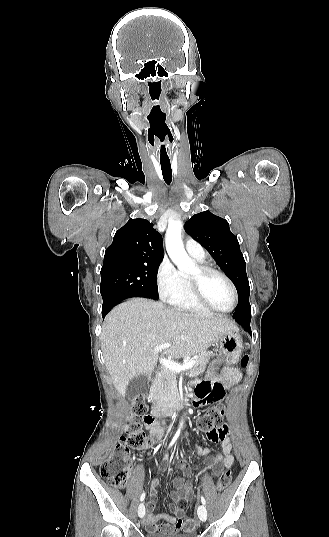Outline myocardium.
Instances as JSON below:
<instances>
[{"label": "myocardium", "mask_w": 329, "mask_h": 537, "mask_svg": "<svg viewBox=\"0 0 329 537\" xmlns=\"http://www.w3.org/2000/svg\"><path fill=\"white\" fill-rule=\"evenodd\" d=\"M197 270H198V276L197 277H188V283H189V287H190V291H191V294L192 296L195 298V300L201 304L204 308H206L207 310L209 311H214V312H217V313H220V314H229L231 313L232 311L235 310V308L237 307V304H238V301H239V296H238V292H237V289L234 285V283L232 282V280L226 275L224 274L222 271L212 267V266H209V265H205V264H199L197 265ZM208 275H217L219 277H221L230 287L231 291H232V294H233V303H232V306L230 309L228 310H219L217 308H215L213 305H211L208 300L206 299L203 291H202V288H201V280L203 277H206Z\"/></svg>", "instance_id": "f54148a6"}]
</instances>
